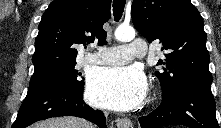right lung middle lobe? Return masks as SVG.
Here are the masks:
<instances>
[{"label":"right lung middle lobe","mask_w":221,"mask_h":128,"mask_svg":"<svg viewBox=\"0 0 221 128\" xmlns=\"http://www.w3.org/2000/svg\"><path fill=\"white\" fill-rule=\"evenodd\" d=\"M80 74L75 70V65L52 70L47 73L33 75L29 84V91H33L52 84H63L83 90L84 81L80 80Z\"/></svg>","instance_id":"dd1d6c3e"}]
</instances>
